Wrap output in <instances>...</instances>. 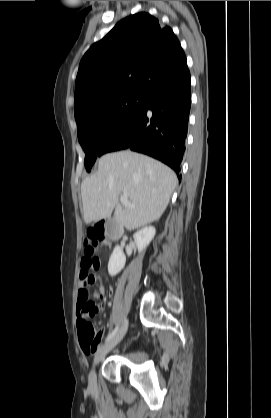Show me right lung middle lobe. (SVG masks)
<instances>
[{"mask_svg":"<svg viewBox=\"0 0 271 418\" xmlns=\"http://www.w3.org/2000/svg\"><path fill=\"white\" fill-rule=\"evenodd\" d=\"M146 100L147 97L140 94L123 93L75 116L87 171L91 170L106 137L135 114Z\"/></svg>","mask_w":271,"mask_h":418,"instance_id":"obj_1","label":"right lung middle lobe"}]
</instances>
